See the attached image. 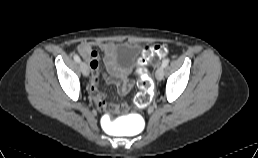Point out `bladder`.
<instances>
[{"label": "bladder", "mask_w": 258, "mask_h": 158, "mask_svg": "<svg viewBox=\"0 0 258 158\" xmlns=\"http://www.w3.org/2000/svg\"><path fill=\"white\" fill-rule=\"evenodd\" d=\"M140 52L141 47L137 43H120L116 46L115 58L120 64L132 68Z\"/></svg>", "instance_id": "1"}]
</instances>
